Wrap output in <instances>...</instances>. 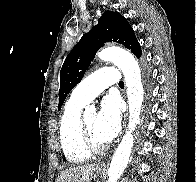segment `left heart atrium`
<instances>
[{"label":"left heart atrium","instance_id":"39dd6f15","mask_svg":"<svg viewBox=\"0 0 196 182\" xmlns=\"http://www.w3.org/2000/svg\"><path fill=\"white\" fill-rule=\"evenodd\" d=\"M121 127V105L116 96H106L97 116L96 132L104 143L111 142Z\"/></svg>","mask_w":196,"mask_h":182}]
</instances>
